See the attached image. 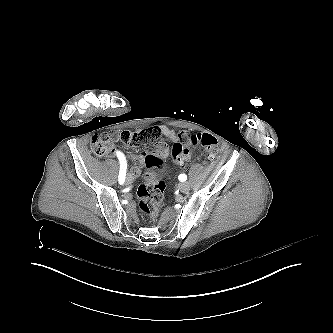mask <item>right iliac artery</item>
Masks as SVG:
<instances>
[{"label":"right iliac artery","instance_id":"obj_1","mask_svg":"<svg viewBox=\"0 0 333 333\" xmlns=\"http://www.w3.org/2000/svg\"><path fill=\"white\" fill-rule=\"evenodd\" d=\"M117 157L120 161V171H119L118 180L120 184H123L126 176L127 163L124 154L121 153L120 151L117 152Z\"/></svg>","mask_w":333,"mask_h":333}]
</instances>
